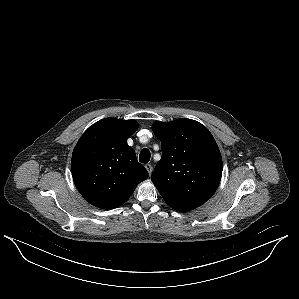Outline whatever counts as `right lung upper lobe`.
Returning <instances> with one entry per match:
<instances>
[{
    "label": "right lung upper lobe",
    "mask_w": 299,
    "mask_h": 299,
    "mask_svg": "<svg viewBox=\"0 0 299 299\" xmlns=\"http://www.w3.org/2000/svg\"><path fill=\"white\" fill-rule=\"evenodd\" d=\"M138 128L134 120L106 118L90 126L72 154V176L92 205L113 209L124 204L149 176L126 141Z\"/></svg>",
    "instance_id": "obj_1"
}]
</instances>
